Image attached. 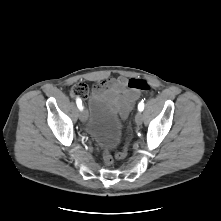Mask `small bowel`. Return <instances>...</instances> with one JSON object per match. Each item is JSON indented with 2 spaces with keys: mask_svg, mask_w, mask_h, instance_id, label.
<instances>
[{
  "mask_svg": "<svg viewBox=\"0 0 221 221\" xmlns=\"http://www.w3.org/2000/svg\"><path fill=\"white\" fill-rule=\"evenodd\" d=\"M94 93L98 96L105 95L109 97L118 109L122 119L127 117L133 103L139 97L137 91L128 86V80L123 76L101 81L94 88Z\"/></svg>",
  "mask_w": 221,
  "mask_h": 221,
  "instance_id": "small-bowel-1",
  "label": "small bowel"
}]
</instances>
